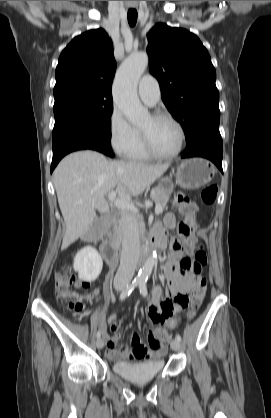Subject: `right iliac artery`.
I'll list each match as a JSON object with an SVG mask.
<instances>
[{
	"label": "right iliac artery",
	"instance_id": "right-iliac-artery-1",
	"mask_svg": "<svg viewBox=\"0 0 271 418\" xmlns=\"http://www.w3.org/2000/svg\"><path fill=\"white\" fill-rule=\"evenodd\" d=\"M139 282H140L139 280H134L132 283L127 285L125 289L122 291V293L120 294V300H124L127 296H129L130 293L134 290V288L138 286ZM96 336L97 338H99L101 336V332L98 331Z\"/></svg>",
	"mask_w": 271,
	"mask_h": 418
}]
</instances>
